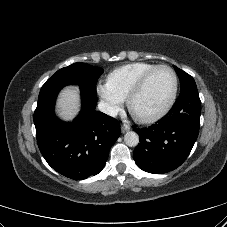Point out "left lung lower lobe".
I'll return each instance as SVG.
<instances>
[{
    "mask_svg": "<svg viewBox=\"0 0 227 227\" xmlns=\"http://www.w3.org/2000/svg\"><path fill=\"white\" fill-rule=\"evenodd\" d=\"M201 101L197 87L180 93L162 119L135 131L140 143L133 153L139 168L161 174L179 167L188 157L199 133Z\"/></svg>",
    "mask_w": 227,
    "mask_h": 227,
    "instance_id": "left-lung-lower-lobe-1",
    "label": "left lung lower lobe"
}]
</instances>
